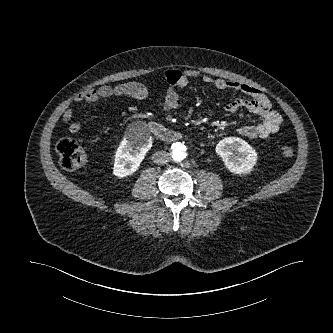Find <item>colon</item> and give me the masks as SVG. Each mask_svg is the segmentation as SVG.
<instances>
[{
  "label": "colon",
  "instance_id": "obj_1",
  "mask_svg": "<svg viewBox=\"0 0 333 333\" xmlns=\"http://www.w3.org/2000/svg\"><path fill=\"white\" fill-rule=\"evenodd\" d=\"M56 151L59 156V165L64 171H73L83 167L87 162V152L75 140L64 138L58 141ZM281 154L285 158H291L294 155L293 148L284 146Z\"/></svg>",
  "mask_w": 333,
  "mask_h": 333
}]
</instances>
